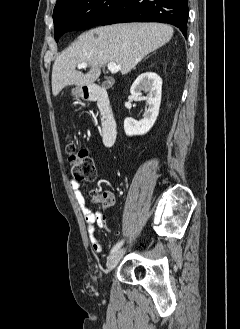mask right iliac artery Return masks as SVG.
I'll use <instances>...</instances> for the list:
<instances>
[{
  "label": "right iliac artery",
  "mask_w": 240,
  "mask_h": 329,
  "mask_svg": "<svg viewBox=\"0 0 240 329\" xmlns=\"http://www.w3.org/2000/svg\"><path fill=\"white\" fill-rule=\"evenodd\" d=\"M124 240L119 241L111 250V254L115 253L123 245Z\"/></svg>",
  "instance_id": "obj_1"
}]
</instances>
